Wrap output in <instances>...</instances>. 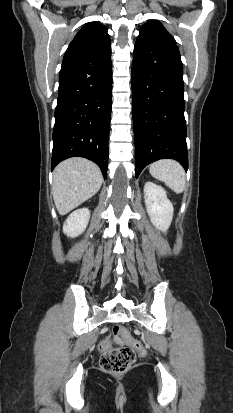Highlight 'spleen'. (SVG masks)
Masks as SVG:
<instances>
[{"label":"spleen","instance_id":"spleen-1","mask_svg":"<svg viewBox=\"0 0 233 413\" xmlns=\"http://www.w3.org/2000/svg\"><path fill=\"white\" fill-rule=\"evenodd\" d=\"M150 174L163 181L171 190L180 194L185 189V171L175 160L163 159L152 163L149 167Z\"/></svg>","mask_w":233,"mask_h":413}]
</instances>
